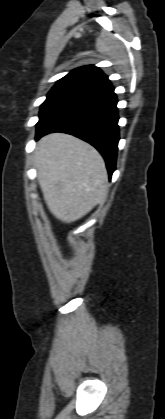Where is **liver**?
Here are the masks:
<instances>
[{"mask_svg": "<svg viewBox=\"0 0 165 419\" xmlns=\"http://www.w3.org/2000/svg\"><path fill=\"white\" fill-rule=\"evenodd\" d=\"M34 165L45 203L57 219L74 222L105 202L108 173L90 144L68 134H49L38 142Z\"/></svg>", "mask_w": 165, "mask_h": 419, "instance_id": "liver-1", "label": "liver"}]
</instances>
